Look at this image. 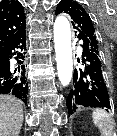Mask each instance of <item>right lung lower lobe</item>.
<instances>
[{
    "label": "right lung lower lobe",
    "instance_id": "obj_1",
    "mask_svg": "<svg viewBox=\"0 0 117 136\" xmlns=\"http://www.w3.org/2000/svg\"><path fill=\"white\" fill-rule=\"evenodd\" d=\"M26 24V21H25ZM25 24L0 48V94H11L27 102L28 82L25 76ZM16 59L17 63L10 61Z\"/></svg>",
    "mask_w": 117,
    "mask_h": 136
}]
</instances>
